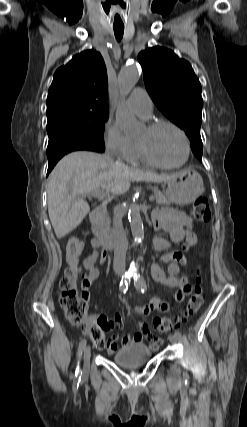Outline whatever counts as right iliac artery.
<instances>
[{
  "mask_svg": "<svg viewBox=\"0 0 247 427\" xmlns=\"http://www.w3.org/2000/svg\"><path fill=\"white\" fill-rule=\"evenodd\" d=\"M130 277H131V275L127 274V273L124 276H122V279H121L120 284H119V290L121 292L125 293L128 290V285L130 284ZM85 346H86V340L83 339L79 343V350L80 351L83 350L85 348ZM80 375H81V371H80L79 366H77V368L75 370V380L76 381L80 380Z\"/></svg>",
  "mask_w": 247,
  "mask_h": 427,
  "instance_id": "1",
  "label": "right iliac artery"
}]
</instances>
